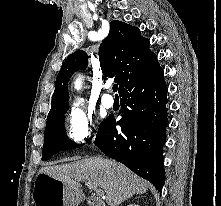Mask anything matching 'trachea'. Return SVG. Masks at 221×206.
Listing matches in <instances>:
<instances>
[{
    "instance_id": "trachea-1",
    "label": "trachea",
    "mask_w": 221,
    "mask_h": 206,
    "mask_svg": "<svg viewBox=\"0 0 221 206\" xmlns=\"http://www.w3.org/2000/svg\"><path fill=\"white\" fill-rule=\"evenodd\" d=\"M113 92H117V89H118V85L117 84H115V85H113Z\"/></svg>"
}]
</instances>
